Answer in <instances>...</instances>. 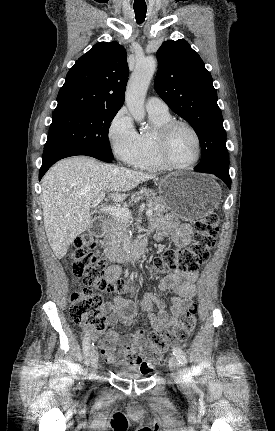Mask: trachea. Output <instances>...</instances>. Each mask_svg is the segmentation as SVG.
Returning <instances> with one entry per match:
<instances>
[{"mask_svg": "<svg viewBox=\"0 0 275 431\" xmlns=\"http://www.w3.org/2000/svg\"><path fill=\"white\" fill-rule=\"evenodd\" d=\"M146 11L147 8H134L136 20L138 24H141L144 22L146 17Z\"/></svg>", "mask_w": 275, "mask_h": 431, "instance_id": "1", "label": "trachea"}]
</instances>
